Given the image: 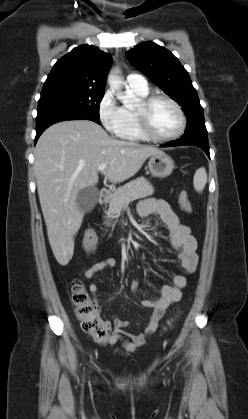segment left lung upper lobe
Here are the masks:
<instances>
[{"label":"left lung upper lobe","instance_id":"obj_1","mask_svg":"<svg viewBox=\"0 0 248 419\" xmlns=\"http://www.w3.org/2000/svg\"><path fill=\"white\" fill-rule=\"evenodd\" d=\"M126 57L136 69L182 106L187 118L185 133L206 128L203 108L189 74L170 51L147 41L126 52Z\"/></svg>","mask_w":248,"mask_h":419}]
</instances>
